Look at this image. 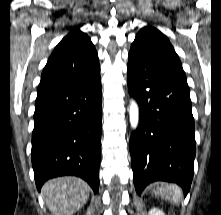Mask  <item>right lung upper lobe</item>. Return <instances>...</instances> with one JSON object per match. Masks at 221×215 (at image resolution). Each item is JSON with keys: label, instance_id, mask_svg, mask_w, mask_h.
I'll use <instances>...</instances> for the list:
<instances>
[{"label": "right lung upper lobe", "instance_id": "1", "mask_svg": "<svg viewBox=\"0 0 221 215\" xmlns=\"http://www.w3.org/2000/svg\"><path fill=\"white\" fill-rule=\"evenodd\" d=\"M100 71L98 55L87 34L73 29L56 46L42 72L37 100L91 78Z\"/></svg>", "mask_w": 221, "mask_h": 215}]
</instances>
